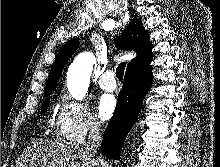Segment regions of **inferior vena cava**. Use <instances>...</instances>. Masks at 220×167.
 Masks as SVG:
<instances>
[{
    "label": "inferior vena cava",
    "mask_w": 220,
    "mask_h": 167,
    "mask_svg": "<svg viewBox=\"0 0 220 167\" xmlns=\"http://www.w3.org/2000/svg\"><path fill=\"white\" fill-rule=\"evenodd\" d=\"M101 135L98 123L91 121L89 123L88 141L85 144V151L94 156L97 148L100 145Z\"/></svg>",
    "instance_id": "obj_1"
}]
</instances>
